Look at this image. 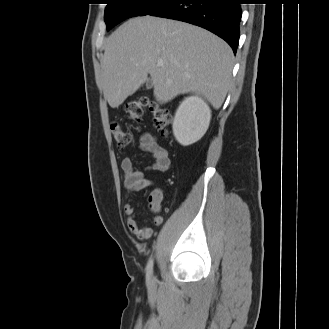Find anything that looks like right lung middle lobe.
Returning <instances> with one entry per match:
<instances>
[{"label":"right lung middle lobe","mask_w":329,"mask_h":329,"mask_svg":"<svg viewBox=\"0 0 329 329\" xmlns=\"http://www.w3.org/2000/svg\"><path fill=\"white\" fill-rule=\"evenodd\" d=\"M172 0H107L105 23L107 30L121 21L133 17L149 15Z\"/></svg>","instance_id":"1"}]
</instances>
